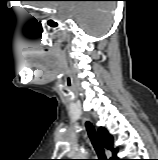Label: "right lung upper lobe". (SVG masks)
I'll use <instances>...</instances> for the list:
<instances>
[{
  "label": "right lung upper lobe",
  "instance_id": "obj_1",
  "mask_svg": "<svg viewBox=\"0 0 158 160\" xmlns=\"http://www.w3.org/2000/svg\"><path fill=\"white\" fill-rule=\"evenodd\" d=\"M98 135L104 147L113 153V157L110 160H115L118 150L113 147L112 136L109 135L107 130L103 127H100L98 130Z\"/></svg>",
  "mask_w": 158,
  "mask_h": 160
}]
</instances>
